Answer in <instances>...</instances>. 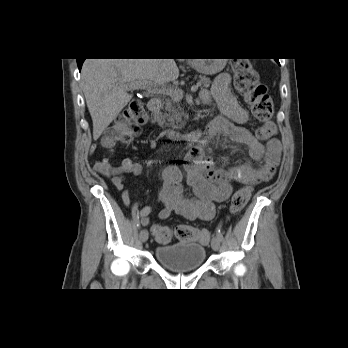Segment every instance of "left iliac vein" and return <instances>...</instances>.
<instances>
[{
	"mask_svg": "<svg viewBox=\"0 0 348 348\" xmlns=\"http://www.w3.org/2000/svg\"><path fill=\"white\" fill-rule=\"evenodd\" d=\"M221 241L218 239V237H214L211 241V246L214 251H218L220 249Z\"/></svg>",
	"mask_w": 348,
	"mask_h": 348,
	"instance_id": "4c4485c4",
	"label": "left iliac vein"
}]
</instances>
